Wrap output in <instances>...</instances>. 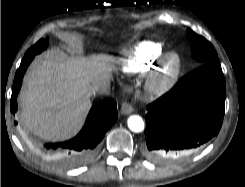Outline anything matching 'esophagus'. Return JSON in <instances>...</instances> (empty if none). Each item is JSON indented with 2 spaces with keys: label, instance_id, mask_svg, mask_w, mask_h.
Here are the masks:
<instances>
[{
  "label": "esophagus",
  "instance_id": "obj_1",
  "mask_svg": "<svg viewBox=\"0 0 245 187\" xmlns=\"http://www.w3.org/2000/svg\"><path fill=\"white\" fill-rule=\"evenodd\" d=\"M120 112H121L122 115H128V114L133 112V107L131 106L130 103L125 101L121 105Z\"/></svg>",
  "mask_w": 245,
  "mask_h": 187
}]
</instances>
